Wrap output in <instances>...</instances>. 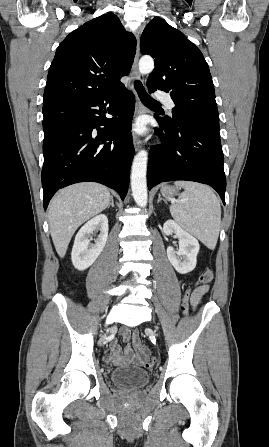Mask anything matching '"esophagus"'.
I'll return each mask as SVG.
<instances>
[{"mask_svg": "<svg viewBox=\"0 0 269 447\" xmlns=\"http://www.w3.org/2000/svg\"><path fill=\"white\" fill-rule=\"evenodd\" d=\"M136 38H137L136 54L134 57V63L132 65L131 74H132V77H134L136 80H140L141 76H140V73L138 70V61H139V57H140L139 35H137ZM131 90L134 93L135 98H136L135 115H140L142 113V105H141L139 97L137 95V91L135 90L133 85L131 86ZM133 143H134L135 150H139V148L141 147V140L136 134H133Z\"/></svg>", "mask_w": 269, "mask_h": 447, "instance_id": "1", "label": "esophagus"}]
</instances>
